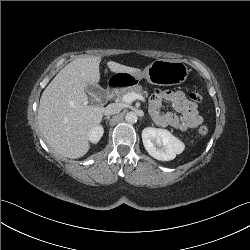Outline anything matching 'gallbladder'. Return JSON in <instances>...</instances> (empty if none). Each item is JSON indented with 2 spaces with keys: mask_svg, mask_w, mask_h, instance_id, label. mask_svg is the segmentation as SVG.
Masks as SVG:
<instances>
[{
  "mask_svg": "<svg viewBox=\"0 0 250 250\" xmlns=\"http://www.w3.org/2000/svg\"><path fill=\"white\" fill-rule=\"evenodd\" d=\"M86 91L88 93L93 94V95H99L101 93H104V90L101 87H99L98 85H88L86 87Z\"/></svg>",
  "mask_w": 250,
  "mask_h": 250,
  "instance_id": "bac80fb5",
  "label": "gallbladder"
}]
</instances>
